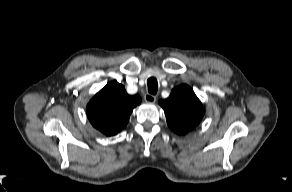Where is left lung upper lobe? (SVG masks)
Here are the masks:
<instances>
[{"label":"left lung upper lobe","instance_id":"obj_1","mask_svg":"<svg viewBox=\"0 0 292 192\" xmlns=\"http://www.w3.org/2000/svg\"><path fill=\"white\" fill-rule=\"evenodd\" d=\"M168 126L177 134L184 135L202 120L205 110L193 90L183 84L174 88L170 96L160 100Z\"/></svg>","mask_w":292,"mask_h":192}]
</instances>
